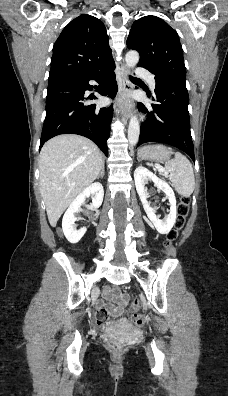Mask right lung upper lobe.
Wrapping results in <instances>:
<instances>
[{
    "instance_id": "right-lung-upper-lobe-1",
    "label": "right lung upper lobe",
    "mask_w": 228,
    "mask_h": 396,
    "mask_svg": "<svg viewBox=\"0 0 228 396\" xmlns=\"http://www.w3.org/2000/svg\"><path fill=\"white\" fill-rule=\"evenodd\" d=\"M103 22L83 14L61 32L53 47L48 81L85 77L114 62Z\"/></svg>"
}]
</instances>
